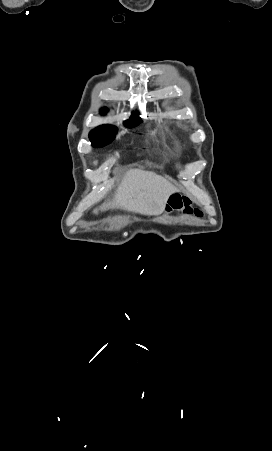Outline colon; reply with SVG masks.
Returning <instances> with one entry per match:
<instances>
[{"mask_svg":"<svg viewBox=\"0 0 272 451\" xmlns=\"http://www.w3.org/2000/svg\"><path fill=\"white\" fill-rule=\"evenodd\" d=\"M168 209H178L187 214H194L197 217L203 216V211L198 207H193L191 200L186 196L173 195L169 198Z\"/></svg>","mask_w":272,"mask_h":451,"instance_id":"1","label":"colon"}]
</instances>
